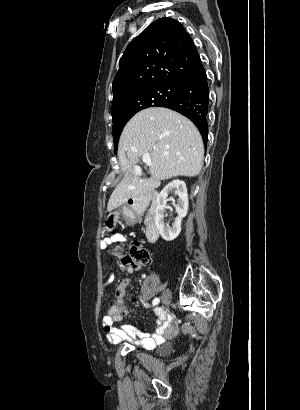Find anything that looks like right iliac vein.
<instances>
[{"instance_id":"obj_1","label":"right iliac vein","mask_w":300,"mask_h":410,"mask_svg":"<svg viewBox=\"0 0 300 410\" xmlns=\"http://www.w3.org/2000/svg\"><path fill=\"white\" fill-rule=\"evenodd\" d=\"M170 296H171V294H170L169 290L164 291L163 294H162V297H161L162 303L166 304L169 301Z\"/></svg>"}]
</instances>
